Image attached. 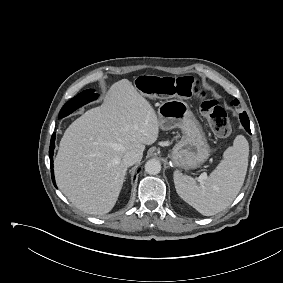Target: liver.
<instances>
[{"instance_id": "6515ba94", "label": "liver", "mask_w": 283, "mask_h": 283, "mask_svg": "<svg viewBox=\"0 0 283 283\" xmlns=\"http://www.w3.org/2000/svg\"><path fill=\"white\" fill-rule=\"evenodd\" d=\"M159 120L150 103L127 79L115 82L104 103L86 111L65 131L54 160L56 182L77 208L106 214L125 180V153L141 161L145 145L158 139Z\"/></svg>"}]
</instances>
